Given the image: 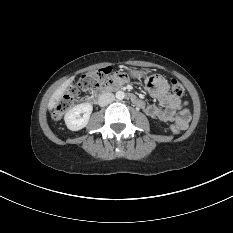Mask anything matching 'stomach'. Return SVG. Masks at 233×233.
<instances>
[{"label": "stomach", "instance_id": "obj_1", "mask_svg": "<svg viewBox=\"0 0 233 233\" xmlns=\"http://www.w3.org/2000/svg\"><path fill=\"white\" fill-rule=\"evenodd\" d=\"M130 73L134 74L136 78H140L143 75L142 71L131 70Z\"/></svg>", "mask_w": 233, "mask_h": 233}]
</instances>
